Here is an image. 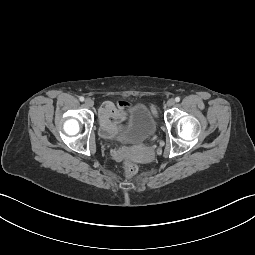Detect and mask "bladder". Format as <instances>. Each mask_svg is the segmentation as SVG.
Instances as JSON below:
<instances>
[{
  "label": "bladder",
  "mask_w": 255,
  "mask_h": 255,
  "mask_svg": "<svg viewBox=\"0 0 255 255\" xmlns=\"http://www.w3.org/2000/svg\"><path fill=\"white\" fill-rule=\"evenodd\" d=\"M158 130V123L152 110L144 103L129 106L128 120L117 134L124 142H139L153 136Z\"/></svg>",
  "instance_id": "1"
}]
</instances>
